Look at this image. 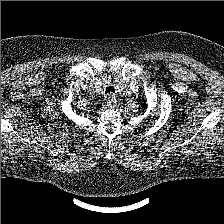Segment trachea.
I'll return each mask as SVG.
<instances>
[{"label": "trachea", "mask_w": 224, "mask_h": 224, "mask_svg": "<svg viewBox=\"0 0 224 224\" xmlns=\"http://www.w3.org/2000/svg\"><path fill=\"white\" fill-rule=\"evenodd\" d=\"M106 94H112V93H115V89L113 86H109L106 88V91H105Z\"/></svg>", "instance_id": "1"}]
</instances>
